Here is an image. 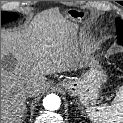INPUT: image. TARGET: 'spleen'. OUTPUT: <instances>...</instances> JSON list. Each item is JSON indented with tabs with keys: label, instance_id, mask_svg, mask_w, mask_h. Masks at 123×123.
I'll list each match as a JSON object with an SVG mask.
<instances>
[{
	"label": "spleen",
	"instance_id": "3e777b00",
	"mask_svg": "<svg viewBox=\"0 0 123 123\" xmlns=\"http://www.w3.org/2000/svg\"><path fill=\"white\" fill-rule=\"evenodd\" d=\"M86 112L92 123H123V86L116 92L111 105L91 106Z\"/></svg>",
	"mask_w": 123,
	"mask_h": 123
}]
</instances>
